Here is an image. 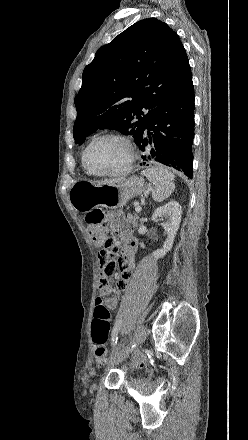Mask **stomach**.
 Returning <instances> with one entry per match:
<instances>
[{"label": "stomach", "mask_w": 248, "mask_h": 440, "mask_svg": "<svg viewBox=\"0 0 248 440\" xmlns=\"http://www.w3.org/2000/svg\"><path fill=\"white\" fill-rule=\"evenodd\" d=\"M145 188L144 180L137 176L104 184L77 181L70 188L68 197L77 211L87 212L99 206L115 209L141 195Z\"/></svg>", "instance_id": "obj_1"}]
</instances>
